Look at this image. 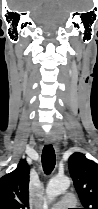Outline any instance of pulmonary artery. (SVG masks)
Masks as SVG:
<instances>
[{"mask_svg": "<svg viewBox=\"0 0 98 209\" xmlns=\"http://www.w3.org/2000/svg\"><path fill=\"white\" fill-rule=\"evenodd\" d=\"M77 205V199L73 193L65 194L62 199L52 206V209H69Z\"/></svg>", "mask_w": 98, "mask_h": 209, "instance_id": "e3ab8cb5", "label": "pulmonary artery"}]
</instances>
